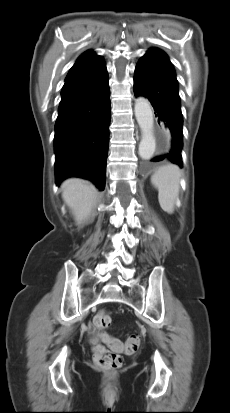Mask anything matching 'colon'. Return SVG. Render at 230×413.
<instances>
[{
    "mask_svg": "<svg viewBox=\"0 0 230 413\" xmlns=\"http://www.w3.org/2000/svg\"><path fill=\"white\" fill-rule=\"evenodd\" d=\"M111 322V316L104 311L98 312L94 316V326L97 329L106 328ZM141 343V335L139 333H133L127 339V342L124 347V352L127 354H132L136 352ZM111 348L109 349L99 343H96L93 348L94 360L96 364L106 370H115L119 368L122 364V358L117 353L121 350V345L113 339L111 341Z\"/></svg>",
    "mask_w": 230,
    "mask_h": 413,
    "instance_id": "colon-1",
    "label": "colon"
}]
</instances>
